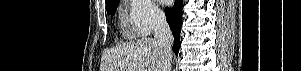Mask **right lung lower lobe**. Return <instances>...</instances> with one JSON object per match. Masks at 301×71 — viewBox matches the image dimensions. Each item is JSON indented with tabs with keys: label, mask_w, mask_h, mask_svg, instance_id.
<instances>
[{
	"label": "right lung lower lobe",
	"mask_w": 301,
	"mask_h": 71,
	"mask_svg": "<svg viewBox=\"0 0 301 71\" xmlns=\"http://www.w3.org/2000/svg\"><path fill=\"white\" fill-rule=\"evenodd\" d=\"M181 3L182 0H175L173 7L165 8L166 20L174 36L173 50L176 54L178 53L180 48V30L182 19Z\"/></svg>",
	"instance_id": "1"
}]
</instances>
